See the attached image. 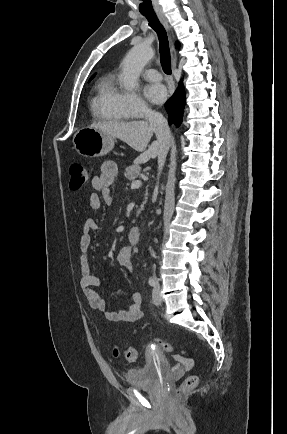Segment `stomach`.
Returning <instances> with one entry per match:
<instances>
[{"label":"stomach","mask_w":287,"mask_h":434,"mask_svg":"<svg viewBox=\"0 0 287 434\" xmlns=\"http://www.w3.org/2000/svg\"><path fill=\"white\" fill-rule=\"evenodd\" d=\"M114 137L92 127L79 129L73 137L76 151L85 157L104 156L114 147Z\"/></svg>","instance_id":"0dacf381"}]
</instances>
